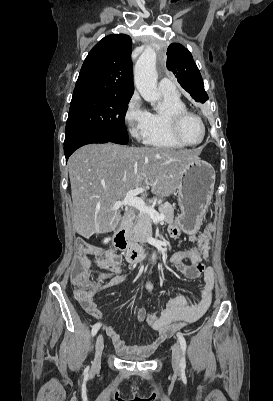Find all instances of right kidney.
Returning a JSON list of instances; mask_svg holds the SVG:
<instances>
[{"mask_svg":"<svg viewBox=\"0 0 273 401\" xmlns=\"http://www.w3.org/2000/svg\"><path fill=\"white\" fill-rule=\"evenodd\" d=\"M109 241H111V239H104L103 243L106 245V243H109Z\"/></svg>","mask_w":273,"mask_h":401,"instance_id":"1","label":"right kidney"}]
</instances>
